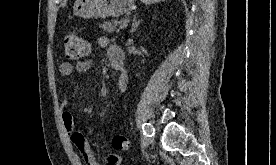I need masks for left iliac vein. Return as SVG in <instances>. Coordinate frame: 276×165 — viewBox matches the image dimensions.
<instances>
[{
    "label": "left iliac vein",
    "mask_w": 276,
    "mask_h": 165,
    "mask_svg": "<svg viewBox=\"0 0 276 165\" xmlns=\"http://www.w3.org/2000/svg\"><path fill=\"white\" fill-rule=\"evenodd\" d=\"M155 131V130H154ZM150 143H152L154 141V132H153V135L149 138L148 140Z\"/></svg>",
    "instance_id": "4c4485c4"
}]
</instances>
